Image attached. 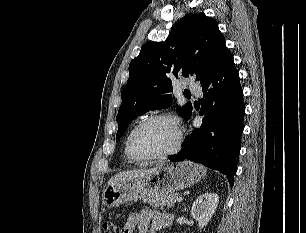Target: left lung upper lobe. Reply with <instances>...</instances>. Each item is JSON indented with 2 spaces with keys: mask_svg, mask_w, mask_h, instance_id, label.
Here are the masks:
<instances>
[{
  "mask_svg": "<svg viewBox=\"0 0 306 233\" xmlns=\"http://www.w3.org/2000/svg\"><path fill=\"white\" fill-rule=\"evenodd\" d=\"M229 51L215 20L204 13L186 14L164 42H148L129 65V79L121 92L116 121L118 141L137 116L164 109L172 102V83L181 76H196L202 83ZM189 119L192 105L178 107Z\"/></svg>",
  "mask_w": 306,
  "mask_h": 233,
  "instance_id": "left-lung-upper-lobe-1",
  "label": "left lung upper lobe"
}]
</instances>
